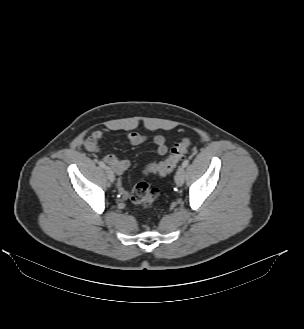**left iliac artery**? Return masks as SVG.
Wrapping results in <instances>:
<instances>
[{
	"mask_svg": "<svg viewBox=\"0 0 304 329\" xmlns=\"http://www.w3.org/2000/svg\"><path fill=\"white\" fill-rule=\"evenodd\" d=\"M188 164H189V160L186 159V160L183 161L182 166L185 168V167L188 166Z\"/></svg>",
	"mask_w": 304,
	"mask_h": 329,
	"instance_id": "1",
	"label": "left iliac artery"
}]
</instances>
